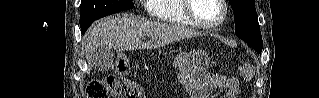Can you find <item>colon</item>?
Here are the masks:
<instances>
[{
  "label": "colon",
  "instance_id": "1",
  "mask_svg": "<svg viewBox=\"0 0 319 98\" xmlns=\"http://www.w3.org/2000/svg\"><path fill=\"white\" fill-rule=\"evenodd\" d=\"M247 66H243L244 73L247 72ZM116 74H109L101 79L93 80L87 87L88 98H142L141 89L131 85L125 78L129 71V63L120 56L115 65Z\"/></svg>",
  "mask_w": 319,
  "mask_h": 98
}]
</instances>
